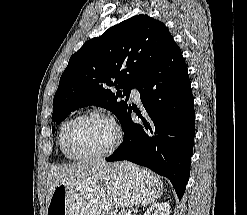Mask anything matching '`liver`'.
Returning a JSON list of instances; mask_svg holds the SVG:
<instances>
[{"label": "liver", "instance_id": "liver-1", "mask_svg": "<svg viewBox=\"0 0 247 215\" xmlns=\"http://www.w3.org/2000/svg\"><path fill=\"white\" fill-rule=\"evenodd\" d=\"M112 164L102 162L77 163L71 165L54 166L47 177L46 204L49 203L54 189L61 183L70 186L84 187L93 177Z\"/></svg>", "mask_w": 247, "mask_h": 215}]
</instances>
